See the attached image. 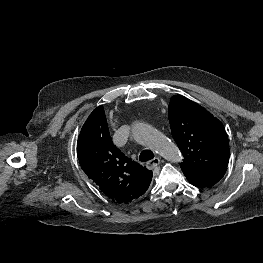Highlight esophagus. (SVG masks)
<instances>
[{"label": "esophagus", "mask_w": 263, "mask_h": 263, "mask_svg": "<svg viewBox=\"0 0 263 263\" xmlns=\"http://www.w3.org/2000/svg\"><path fill=\"white\" fill-rule=\"evenodd\" d=\"M161 163V159L159 157H155L152 160L148 161L146 163V167L148 169H154L155 167H157L159 164Z\"/></svg>", "instance_id": "esophagus-1"}]
</instances>
